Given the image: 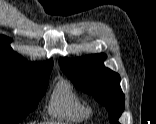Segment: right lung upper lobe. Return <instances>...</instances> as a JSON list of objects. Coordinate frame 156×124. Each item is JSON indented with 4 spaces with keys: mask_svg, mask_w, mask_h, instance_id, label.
Returning a JSON list of instances; mask_svg holds the SVG:
<instances>
[{
    "mask_svg": "<svg viewBox=\"0 0 156 124\" xmlns=\"http://www.w3.org/2000/svg\"><path fill=\"white\" fill-rule=\"evenodd\" d=\"M10 41L8 37L0 36V73L25 77L50 75L53 66L52 59L43 63H29L11 49Z\"/></svg>",
    "mask_w": 156,
    "mask_h": 124,
    "instance_id": "right-lung-upper-lobe-1",
    "label": "right lung upper lobe"
}]
</instances>
